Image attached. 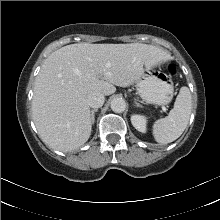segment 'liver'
<instances>
[{
    "mask_svg": "<svg viewBox=\"0 0 220 220\" xmlns=\"http://www.w3.org/2000/svg\"><path fill=\"white\" fill-rule=\"evenodd\" d=\"M171 60L153 45L78 43L52 52L36 77L32 115L42 141L68 152L82 146L92 130L87 96L111 95L128 87L150 69Z\"/></svg>",
    "mask_w": 220,
    "mask_h": 220,
    "instance_id": "6515ba94",
    "label": "liver"
}]
</instances>
